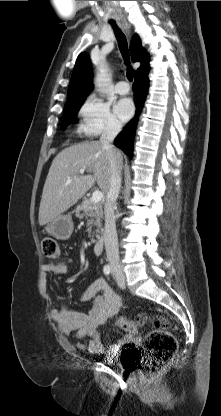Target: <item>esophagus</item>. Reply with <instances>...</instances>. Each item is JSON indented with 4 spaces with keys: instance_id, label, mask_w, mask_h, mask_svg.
I'll use <instances>...</instances> for the list:
<instances>
[{
    "instance_id": "esophagus-1",
    "label": "esophagus",
    "mask_w": 221,
    "mask_h": 416,
    "mask_svg": "<svg viewBox=\"0 0 221 416\" xmlns=\"http://www.w3.org/2000/svg\"><path fill=\"white\" fill-rule=\"evenodd\" d=\"M123 26L126 29V31L129 32V26L126 22L123 23Z\"/></svg>"
}]
</instances>
